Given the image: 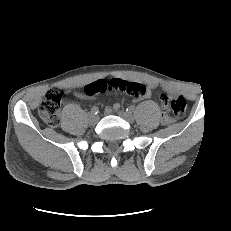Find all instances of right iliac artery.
I'll return each mask as SVG.
<instances>
[{"mask_svg":"<svg viewBox=\"0 0 231 231\" xmlns=\"http://www.w3.org/2000/svg\"><path fill=\"white\" fill-rule=\"evenodd\" d=\"M99 113V108L97 106H93L91 108V114H98Z\"/></svg>","mask_w":231,"mask_h":231,"instance_id":"82829eb1","label":"right iliac artery"}]
</instances>
